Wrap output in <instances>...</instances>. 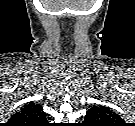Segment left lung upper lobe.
<instances>
[{
    "label": "left lung upper lobe",
    "mask_w": 135,
    "mask_h": 126,
    "mask_svg": "<svg viewBox=\"0 0 135 126\" xmlns=\"http://www.w3.org/2000/svg\"><path fill=\"white\" fill-rule=\"evenodd\" d=\"M85 122L89 126H120L121 118L108 107L95 105L87 111Z\"/></svg>",
    "instance_id": "1"
}]
</instances>
